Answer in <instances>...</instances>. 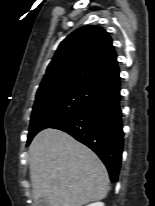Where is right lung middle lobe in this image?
Returning a JSON list of instances; mask_svg holds the SVG:
<instances>
[{"label":"right lung middle lobe","mask_w":155,"mask_h":206,"mask_svg":"<svg viewBox=\"0 0 155 206\" xmlns=\"http://www.w3.org/2000/svg\"><path fill=\"white\" fill-rule=\"evenodd\" d=\"M104 93L82 85L37 92L31 114L27 144L45 128H51L82 111Z\"/></svg>","instance_id":"1"}]
</instances>
